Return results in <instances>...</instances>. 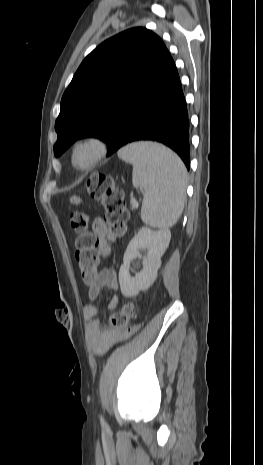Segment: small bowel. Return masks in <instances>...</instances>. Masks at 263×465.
Returning <instances> with one entry per match:
<instances>
[{
	"label": "small bowel",
	"mask_w": 263,
	"mask_h": 465,
	"mask_svg": "<svg viewBox=\"0 0 263 465\" xmlns=\"http://www.w3.org/2000/svg\"><path fill=\"white\" fill-rule=\"evenodd\" d=\"M93 231L97 239V251L100 256L107 257L111 253L110 242L114 240L109 228L104 224L102 219H97L93 225ZM103 288L112 290L118 289V279L115 270L105 268L100 271L95 282L89 286L88 298L89 303L83 309L85 318L92 320V324L88 329L91 340L92 349L98 355L106 353L113 345L125 339L130 332L124 330H107L101 331L98 329V308L94 304ZM119 303V297L113 295L108 302V310H114ZM143 327V322H137L134 329H131V334H136V330Z\"/></svg>",
	"instance_id": "1"
}]
</instances>
